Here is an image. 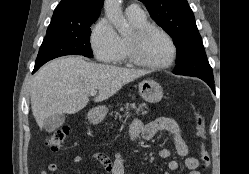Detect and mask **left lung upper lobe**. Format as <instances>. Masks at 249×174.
Returning a JSON list of instances; mask_svg holds the SVG:
<instances>
[{
	"mask_svg": "<svg viewBox=\"0 0 249 174\" xmlns=\"http://www.w3.org/2000/svg\"><path fill=\"white\" fill-rule=\"evenodd\" d=\"M151 18L173 39L177 50L174 74L213 78L193 11L187 0H139Z\"/></svg>",
	"mask_w": 249,
	"mask_h": 174,
	"instance_id": "5c2ea615",
	"label": "left lung upper lobe"
}]
</instances>
